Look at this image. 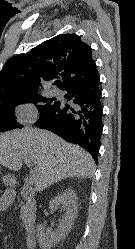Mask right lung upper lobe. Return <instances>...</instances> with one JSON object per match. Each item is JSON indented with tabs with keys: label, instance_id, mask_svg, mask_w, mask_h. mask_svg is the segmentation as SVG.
<instances>
[{
	"label": "right lung upper lobe",
	"instance_id": "1",
	"mask_svg": "<svg viewBox=\"0 0 135 249\" xmlns=\"http://www.w3.org/2000/svg\"><path fill=\"white\" fill-rule=\"evenodd\" d=\"M97 74L91 47L76 34H60L7 61L0 71V100L34 93L41 80H56L65 90Z\"/></svg>",
	"mask_w": 135,
	"mask_h": 249
}]
</instances>
